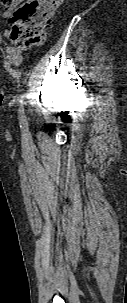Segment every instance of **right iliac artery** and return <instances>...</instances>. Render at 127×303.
Returning <instances> with one entry per match:
<instances>
[{"label": "right iliac artery", "instance_id": "82829eb1", "mask_svg": "<svg viewBox=\"0 0 127 303\" xmlns=\"http://www.w3.org/2000/svg\"><path fill=\"white\" fill-rule=\"evenodd\" d=\"M19 118H20V121L22 123H24L26 121V116L24 114V108H23V101L21 100L20 101V107H19Z\"/></svg>", "mask_w": 127, "mask_h": 303}]
</instances>
